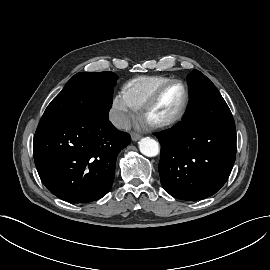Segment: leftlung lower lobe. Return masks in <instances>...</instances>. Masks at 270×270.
Returning a JSON list of instances; mask_svg holds the SVG:
<instances>
[{"label": "left lung lower lobe", "instance_id": "1", "mask_svg": "<svg viewBox=\"0 0 270 270\" xmlns=\"http://www.w3.org/2000/svg\"><path fill=\"white\" fill-rule=\"evenodd\" d=\"M161 143L163 188L187 201L215 194L227 181L236 158L234 120L203 122L189 104L181 124L156 135Z\"/></svg>", "mask_w": 270, "mask_h": 270}]
</instances>
